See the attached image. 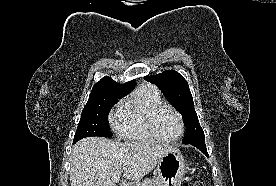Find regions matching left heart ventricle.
<instances>
[{"instance_id":"1","label":"left heart ventricle","mask_w":276,"mask_h":186,"mask_svg":"<svg viewBox=\"0 0 276 186\" xmlns=\"http://www.w3.org/2000/svg\"><path fill=\"white\" fill-rule=\"evenodd\" d=\"M156 126L158 132L167 139L176 137L181 130L178 117L169 109H163L160 112L157 118Z\"/></svg>"}]
</instances>
